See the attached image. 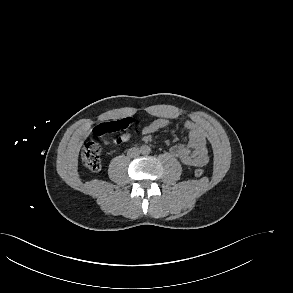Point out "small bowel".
Here are the masks:
<instances>
[{"instance_id":"obj_1","label":"small bowel","mask_w":293,"mask_h":293,"mask_svg":"<svg viewBox=\"0 0 293 293\" xmlns=\"http://www.w3.org/2000/svg\"><path fill=\"white\" fill-rule=\"evenodd\" d=\"M168 125V119L158 118L145 126L144 133L152 134ZM184 126L188 132L186 140L172 146L170 153L187 166L202 167L209 162L206 132L201 125L193 121H186Z\"/></svg>"}]
</instances>
